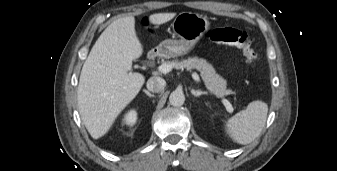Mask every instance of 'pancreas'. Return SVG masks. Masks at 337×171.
Wrapping results in <instances>:
<instances>
[{
  "instance_id": "1",
  "label": "pancreas",
  "mask_w": 337,
  "mask_h": 171,
  "mask_svg": "<svg viewBox=\"0 0 337 171\" xmlns=\"http://www.w3.org/2000/svg\"><path fill=\"white\" fill-rule=\"evenodd\" d=\"M171 64L176 69H197L211 94L217 97H223L230 94L226 89L227 82L215 72V69L205 59L193 57L182 61H172Z\"/></svg>"
}]
</instances>
